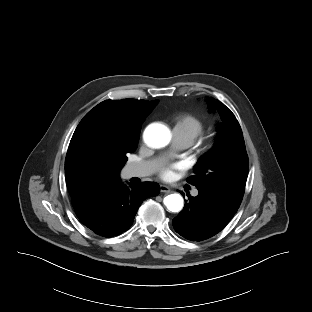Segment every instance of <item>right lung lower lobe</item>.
Wrapping results in <instances>:
<instances>
[{
	"label": "right lung lower lobe",
	"instance_id": "obj_1",
	"mask_svg": "<svg viewBox=\"0 0 312 312\" xmlns=\"http://www.w3.org/2000/svg\"><path fill=\"white\" fill-rule=\"evenodd\" d=\"M160 187L154 182L141 186L120 182L86 215L79 220L98 235L112 237L126 231L133 223L141 203L158 195Z\"/></svg>",
	"mask_w": 312,
	"mask_h": 312
}]
</instances>
